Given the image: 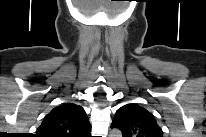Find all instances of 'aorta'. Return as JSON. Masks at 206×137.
<instances>
[{
  "label": "aorta",
  "instance_id": "aorta-1",
  "mask_svg": "<svg viewBox=\"0 0 206 137\" xmlns=\"http://www.w3.org/2000/svg\"><path fill=\"white\" fill-rule=\"evenodd\" d=\"M111 137H121V132L120 131H118V130H113L112 132H111V135H110Z\"/></svg>",
  "mask_w": 206,
  "mask_h": 137
}]
</instances>
